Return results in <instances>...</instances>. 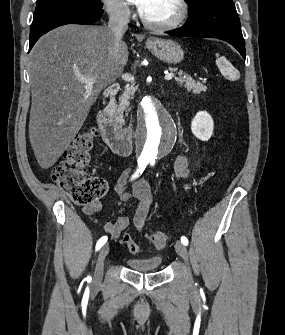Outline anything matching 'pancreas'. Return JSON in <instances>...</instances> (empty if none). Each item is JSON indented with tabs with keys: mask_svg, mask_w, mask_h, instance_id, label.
Instances as JSON below:
<instances>
[{
	"mask_svg": "<svg viewBox=\"0 0 285 335\" xmlns=\"http://www.w3.org/2000/svg\"><path fill=\"white\" fill-rule=\"evenodd\" d=\"M170 72H177L178 68H169ZM179 78H174L175 82H178L180 86H184L188 92H193V94H201V92H205L207 90L206 86H203V84H200V82H196V80H193L189 74H183V72H178ZM135 94V88H126L124 90L122 96L119 98V106H116L115 113L111 112L109 114V117L111 119L116 118V122L118 124H125L122 116L123 112H126L128 106H130V100L131 96H134Z\"/></svg>",
	"mask_w": 285,
	"mask_h": 335,
	"instance_id": "obj_1",
	"label": "pancreas"
}]
</instances>
